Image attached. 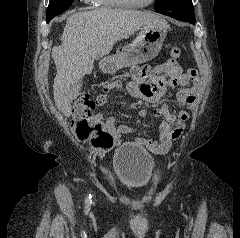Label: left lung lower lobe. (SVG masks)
<instances>
[{
    "label": "left lung lower lobe",
    "mask_w": 240,
    "mask_h": 238,
    "mask_svg": "<svg viewBox=\"0 0 240 238\" xmlns=\"http://www.w3.org/2000/svg\"><path fill=\"white\" fill-rule=\"evenodd\" d=\"M159 13L170 16V17L178 19V20L189 22L191 24H194L196 21L195 16H188V15H184V14L177 13V12H163L162 11Z\"/></svg>",
    "instance_id": "obj_1"
}]
</instances>
